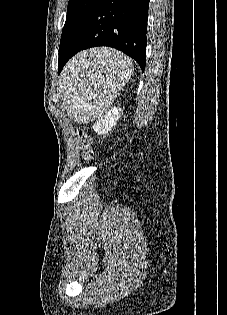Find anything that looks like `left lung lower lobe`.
Wrapping results in <instances>:
<instances>
[{"instance_id": "0a47b994", "label": "left lung lower lobe", "mask_w": 227, "mask_h": 315, "mask_svg": "<svg viewBox=\"0 0 227 315\" xmlns=\"http://www.w3.org/2000/svg\"><path fill=\"white\" fill-rule=\"evenodd\" d=\"M149 0H98L59 50L58 74L81 50L109 46L135 59L144 71Z\"/></svg>"}]
</instances>
